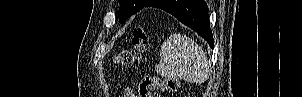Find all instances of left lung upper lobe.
<instances>
[{
	"mask_svg": "<svg viewBox=\"0 0 302 97\" xmlns=\"http://www.w3.org/2000/svg\"><path fill=\"white\" fill-rule=\"evenodd\" d=\"M154 0H120L119 21L124 23L127 18L144 7H148Z\"/></svg>",
	"mask_w": 302,
	"mask_h": 97,
	"instance_id": "1",
	"label": "left lung upper lobe"
}]
</instances>
